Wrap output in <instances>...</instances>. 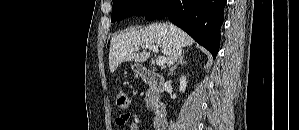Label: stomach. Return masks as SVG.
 I'll return each mask as SVG.
<instances>
[{"mask_svg": "<svg viewBox=\"0 0 299 130\" xmlns=\"http://www.w3.org/2000/svg\"><path fill=\"white\" fill-rule=\"evenodd\" d=\"M142 69L141 65L138 63H134L131 65V70L134 71L135 73L140 72Z\"/></svg>", "mask_w": 299, "mask_h": 130, "instance_id": "1", "label": "stomach"}]
</instances>
